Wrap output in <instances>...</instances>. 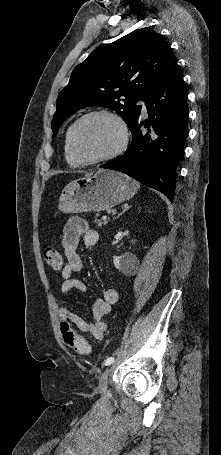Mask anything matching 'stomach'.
I'll return each instance as SVG.
<instances>
[{
  "instance_id": "obj_1",
  "label": "stomach",
  "mask_w": 221,
  "mask_h": 455,
  "mask_svg": "<svg viewBox=\"0 0 221 455\" xmlns=\"http://www.w3.org/2000/svg\"><path fill=\"white\" fill-rule=\"evenodd\" d=\"M139 187L123 173L100 169L69 183L62 190L58 207L64 213L109 210L132 198Z\"/></svg>"
}]
</instances>
